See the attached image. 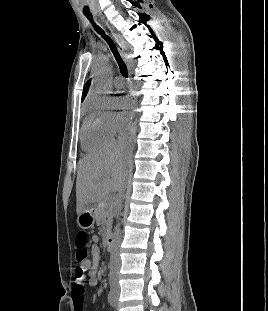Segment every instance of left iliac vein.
Segmentation results:
<instances>
[{
    "mask_svg": "<svg viewBox=\"0 0 268 311\" xmlns=\"http://www.w3.org/2000/svg\"><path fill=\"white\" fill-rule=\"evenodd\" d=\"M117 295H118V294L115 295V308H116V309H117Z\"/></svg>",
    "mask_w": 268,
    "mask_h": 311,
    "instance_id": "left-iliac-vein-1",
    "label": "left iliac vein"
}]
</instances>
